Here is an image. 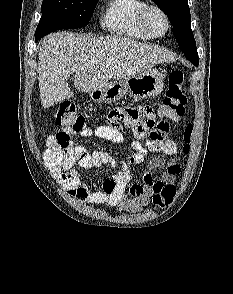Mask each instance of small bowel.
<instances>
[{"instance_id":"small-bowel-1","label":"small bowel","mask_w":233,"mask_h":294,"mask_svg":"<svg viewBox=\"0 0 233 294\" xmlns=\"http://www.w3.org/2000/svg\"><path fill=\"white\" fill-rule=\"evenodd\" d=\"M138 108H115L106 115V124L95 129L86 127L79 134L84 138L97 137L115 143H124L120 129L130 126L127 134L143 141L149 137L146 144L133 142L134 152H123V156H112L103 149H86L83 146H71L65 151L54 153L55 135L48 137L44 160L52 170L57 181L73 196L89 204H102L114 207L120 212H138L146 207L154 195L166 186H174L180 173V165L174 159H165L164 155L177 152V145L167 138L170 131V120H153L157 118L158 108L153 104H138ZM160 153L149 163V169L162 167L164 171L159 180H155L148 171L143 177V183L131 182L130 167L142 164L146 154ZM117 161H126L117 163ZM108 165L120 170L106 179L102 188L91 191L82 183L76 166L91 169ZM129 187V188H128ZM128 189V190H127Z\"/></svg>"}]
</instances>
